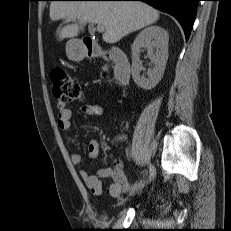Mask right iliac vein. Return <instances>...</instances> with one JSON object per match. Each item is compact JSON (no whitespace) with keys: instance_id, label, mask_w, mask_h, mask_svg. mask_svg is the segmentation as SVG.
Wrapping results in <instances>:
<instances>
[{"instance_id":"obj_1","label":"right iliac vein","mask_w":231,"mask_h":231,"mask_svg":"<svg viewBox=\"0 0 231 231\" xmlns=\"http://www.w3.org/2000/svg\"><path fill=\"white\" fill-rule=\"evenodd\" d=\"M156 175V169L152 164H149V178L148 182H151Z\"/></svg>"}]
</instances>
